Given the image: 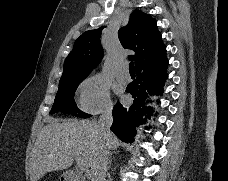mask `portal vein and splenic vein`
I'll use <instances>...</instances> for the list:
<instances>
[{
	"mask_svg": "<svg viewBox=\"0 0 228 181\" xmlns=\"http://www.w3.org/2000/svg\"><path fill=\"white\" fill-rule=\"evenodd\" d=\"M74 159L79 167V171H81V173H83V171H85V173H88L85 161H82L81 157H74Z\"/></svg>",
	"mask_w": 228,
	"mask_h": 181,
	"instance_id": "18ae733b",
	"label": "portal vein and splenic vein"
}]
</instances>
